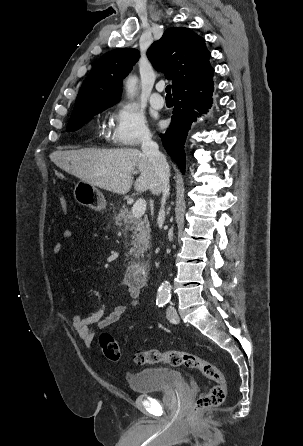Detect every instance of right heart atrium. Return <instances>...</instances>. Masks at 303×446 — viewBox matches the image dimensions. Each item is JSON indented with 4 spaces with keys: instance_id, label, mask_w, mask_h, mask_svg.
<instances>
[{
    "instance_id": "1",
    "label": "right heart atrium",
    "mask_w": 303,
    "mask_h": 446,
    "mask_svg": "<svg viewBox=\"0 0 303 446\" xmlns=\"http://www.w3.org/2000/svg\"><path fill=\"white\" fill-rule=\"evenodd\" d=\"M108 137L118 146H136L148 141L151 132L144 114L136 106L121 103L112 114Z\"/></svg>"
}]
</instances>
